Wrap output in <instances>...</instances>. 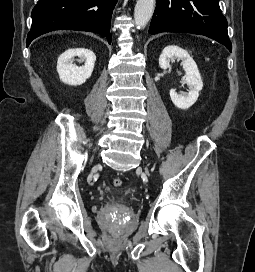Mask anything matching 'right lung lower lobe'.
<instances>
[{
    "instance_id": "obj_1",
    "label": "right lung lower lobe",
    "mask_w": 255,
    "mask_h": 272,
    "mask_svg": "<svg viewBox=\"0 0 255 272\" xmlns=\"http://www.w3.org/2000/svg\"><path fill=\"white\" fill-rule=\"evenodd\" d=\"M117 0H40L32 10L26 44L55 30L99 33L111 43L110 21Z\"/></svg>"
}]
</instances>
